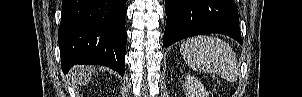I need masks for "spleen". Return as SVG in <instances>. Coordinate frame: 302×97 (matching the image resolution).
I'll use <instances>...</instances> for the list:
<instances>
[{
    "mask_svg": "<svg viewBox=\"0 0 302 97\" xmlns=\"http://www.w3.org/2000/svg\"><path fill=\"white\" fill-rule=\"evenodd\" d=\"M180 52L187 65L195 71L214 73L229 82L237 80V57L222 39L205 35L192 37L181 44Z\"/></svg>",
    "mask_w": 302,
    "mask_h": 97,
    "instance_id": "3e777b00",
    "label": "spleen"
}]
</instances>
